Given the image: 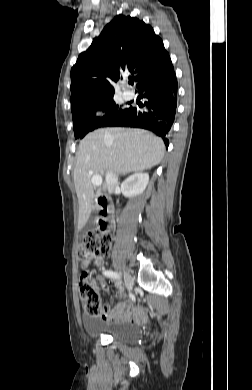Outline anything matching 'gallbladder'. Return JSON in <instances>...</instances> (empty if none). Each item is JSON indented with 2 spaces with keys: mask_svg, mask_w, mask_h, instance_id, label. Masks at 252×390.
I'll use <instances>...</instances> for the list:
<instances>
[{
  "mask_svg": "<svg viewBox=\"0 0 252 390\" xmlns=\"http://www.w3.org/2000/svg\"><path fill=\"white\" fill-rule=\"evenodd\" d=\"M96 216L95 214H92L86 224L83 226V228L80 230L81 235L87 234L89 231L95 230L96 222H95Z\"/></svg>",
  "mask_w": 252,
  "mask_h": 390,
  "instance_id": "gallbladder-1",
  "label": "gallbladder"
}]
</instances>
